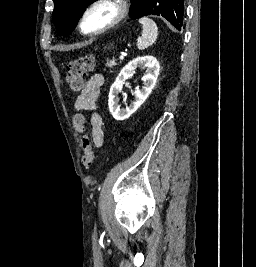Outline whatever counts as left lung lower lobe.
Masks as SVG:
<instances>
[{
	"label": "left lung lower lobe",
	"mask_w": 256,
	"mask_h": 267,
	"mask_svg": "<svg viewBox=\"0 0 256 267\" xmlns=\"http://www.w3.org/2000/svg\"><path fill=\"white\" fill-rule=\"evenodd\" d=\"M184 17V0H175V24L178 30H181Z\"/></svg>",
	"instance_id": "obj_1"
}]
</instances>
